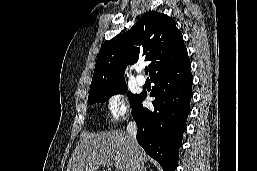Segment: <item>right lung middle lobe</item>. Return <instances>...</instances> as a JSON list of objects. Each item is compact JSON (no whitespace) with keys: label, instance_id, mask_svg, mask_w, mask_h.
Instances as JSON below:
<instances>
[{"label":"right lung middle lobe","instance_id":"dd1d6c3e","mask_svg":"<svg viewBox=\"0 0 257 171\" xmlns=\"http://www.w3.org/2000/svg\"><path fill=\"white\" fill-rule=\"evenodd\" d=\"M126 92H127L126 83L117 85V86H114L111 88L92 91V92H89L88 103L94 104L96 102H105L113 95L125 94ZM127 96L129 98V101H130L131 107H132L134 105V103L136 102V100L138 99L139 95L128 92Z\"/></svg>","mask_w":257,"mask_h":171}]
</instances>
